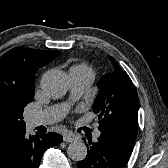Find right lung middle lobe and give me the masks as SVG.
I'll return each mask as SVG.
<instances>
[{
    "label": "right lung middle lobe",
    "instance_id": "right-lung-middle-lobe-1",
    "mask_svg": "<svg viewBox=\"0 0 168 168\" xmlns=\"http://www.w3.org/2000/svg\"><path fill=\"white\" fill-rule=\"evenodd\" d=\"M34 99V88L31 89L27 94L24 95L23 97V100H22V103L20 104V106L18 107V110H17V117L23 121V109L24 107L32 102Z\"/></svg>",
    "mask_w": 168,
    "mask_h": 168
}]
</instances>
